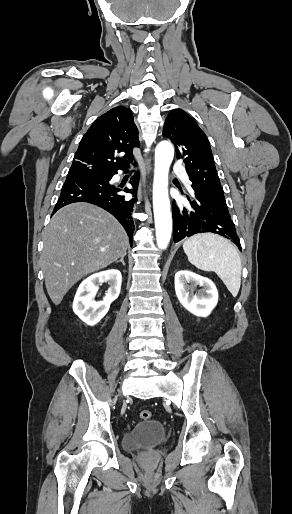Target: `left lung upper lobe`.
<instances>
[{"label": "left lung upper lobe", "instance_id": "obj_1", "mask_svg": "<svg viewBox=\"0 0 292 514\" xmlns=\"http://www.w3.org/2000/svg\"><path fill=\"white\" fill-rule=\"evenodd\" d=\"M163 136L174 144L177 159L184 161L194 192L224 197L210 143L195 120L185 111L174 109L166 118Z\"/></svg>", "mask_w": 292, "mask_h": 514}]
</instances>
